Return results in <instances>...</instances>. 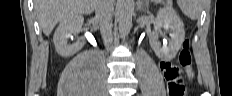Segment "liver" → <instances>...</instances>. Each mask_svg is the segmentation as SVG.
Returning <instances> with one entry per match:
<instances>
[{
    "label": "liver",
    "mask_w": 232,
    "mask_h": 96,
    "mask_svg": "<svg viewBox=\"0 0 232 96\" xmlns=\"http://www.w3.org/2000/svg\"><path fill=\"white\" fill-rule=\"evenodd\" d=\"M96 4L97 0H34L38 21L46 36L59 21L76 14H90Z\"/></svg>",
    "instance_id": "obj_1"
}]
</instances>
